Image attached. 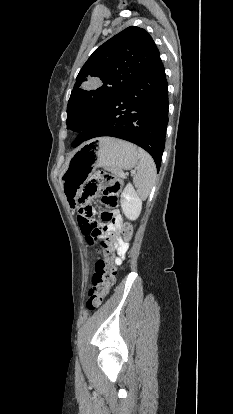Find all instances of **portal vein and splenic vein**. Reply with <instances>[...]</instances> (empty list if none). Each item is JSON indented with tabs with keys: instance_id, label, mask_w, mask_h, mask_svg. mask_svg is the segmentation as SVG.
Wrapping results in <instances>:
<instances>
[{
	"instance_id": "obj_1",
	"label": "portal vein and splenic vein",
	"mask_w": 233,
	"mask_h": 414,
	"mask_svg": "<svg viewBox=\"0 0 233 414\" xmlns=\"http://www.w3.org/2000/svg\"><path fill=\"white\" fill-rule=\"evenodd\" d=\"M131 173H132V174H134V173H135V171H134V170H132V171H131ZM125 176H126V174H124V173H123V174H122V177L124 178Z\"/></svg>"
}]
</instances>
